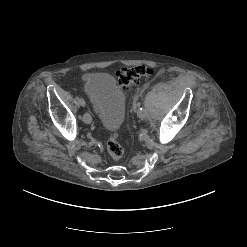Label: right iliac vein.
Segmentation results:
<instances>
[{
    "instance_id": "right-iliac-vein-1",
    "label": "right iliac vein",
    "mask_w": 247,
    "mask_h": 247,
    "mask_svg": "<svg viewBox=\"0 0 247 247\" xmlns=\"http://www.w3.org/2000/svg\"><path fill=\"white\" fill-rule=\"evenodd\" d=\"M83 121L87 124H90L92 122V117L89 113H85L83 116Z\"/></svg>"
}]
</instances>
